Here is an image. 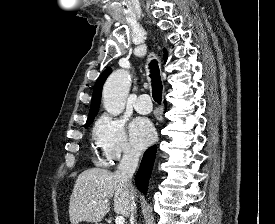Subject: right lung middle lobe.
Masks as SVG:
<instances>
[{
  "mask_svg": "<svg viewBox=\"0 0 275 224\" xmlns=\"http://www.w3.org/2000/svg\"><path fill=\"white\" fill-rule=\"evenodd\" d=\"M92 121L93 120L86 122V127H88L91 124Z\"/></svg>",
  "mask_w": 275,
  "mask_h": 224,
  "instance_id": "obj_1",
  "label": "right lung middle lobe"
}]
</instances>
